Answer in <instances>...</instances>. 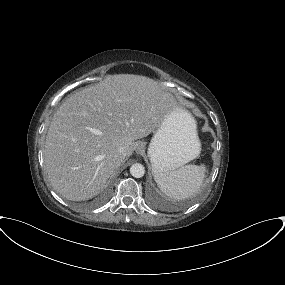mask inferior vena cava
Returning a JSON list of instances; mask_svg holds the SVG:
<instances>
[{"instance_id": "602c4592", "label": "inferior vena cava", "mask_w": 285, "mask_h": 285, "mask_svg": "<svg viewBox=\"0 0 285 285\" xmlns=\"http://www.w3.org/2000/svg\"><path fill=\"white\" fill-rule=\"evenodd\" d=\"M118 153H119V155L121 156V157H125L126 156V148L125 147H120L119 149H118Z\"/></svg>"}]
</instances>
